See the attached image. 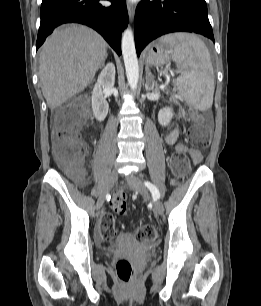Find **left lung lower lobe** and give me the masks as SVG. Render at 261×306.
<instances>
[{
  "instance_id": "1",
  "label": "left lung lower lobe",
  "mask_w": 261,
  "mask_h": 306,
  "mask_svg": "<svg viewBox=\"0 0 261 306\" xmlns=\"http://www.w3.org/2000/svg\"><path fill=\"white\" fill-rule=\"evenodd\" d=\"M137 56L159 36L194 32L214 41L205 0H142L135 14Z\"/></svg>"
}]
</instances>
